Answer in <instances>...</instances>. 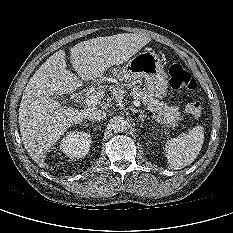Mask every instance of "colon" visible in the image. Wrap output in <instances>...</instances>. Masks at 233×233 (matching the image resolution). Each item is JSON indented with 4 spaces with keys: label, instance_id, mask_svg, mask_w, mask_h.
I'll return each instance as SVG.
<instances>
[{
    "label": "colon",
    "instance_id": "obj_1",
    "mask_svg": "<svg viewBox=\"0 0 233 233\" xmlns=\"http://www.w3.org/2000/svg\"><path fill=\"white\" fill-rule=\"evenodd\" d=\"M170 86L176 91L195 90L197 82L180 64H172L168 70ZM187 112L193 117H200L203 112V101L195 98L186 106Z\"/></svg>",
    "mask_w": 233,
    "mask_h": 233
}]
</instances>
